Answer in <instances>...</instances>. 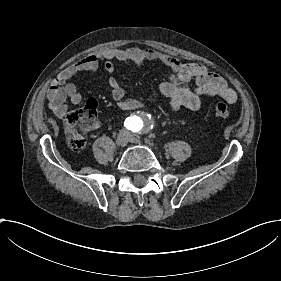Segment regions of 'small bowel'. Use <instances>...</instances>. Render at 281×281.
Returning a JSON list of instances; mask_svg holds the SVG:
<instances>
[{
	"instance_id": "obj_1",
	"label": "small bowel",
	"mask_w": 281,
	"mask_h": 281,
	"mask_svg": "<svg viewBox=\"0 0 281 281\" xmlns=\"http://www.w3.org/2000/svg\"><path fill=\"white\" fill-rule=\"evenodd\" d=\"M106 61H120L141 65L145 62H157L170 68L171 72L165 81L160 83V91L169 99L173 111L182 109L197 111L201 107L203 96H219L228 103L236 101V93L229 83L220 75L212 72L207 66L200 63H181L171 54L147 48L128 47L123 49L107 48L98 51L67 68L61 74L59 84H53L48 92L47 99L55 115L66 120L70 110L66 103L80 104L82 93L70 82V79L83 72H93ZM108 70L113 69L111 63H105ZM195 81V88L188 84ZM111 97L122 111H136L142 105L135 99L125 96L124 90L119 86L116 78L109 79ZM92 128L100 126L99 121L91 123Z\"/></svg>"
}]
</instances>
